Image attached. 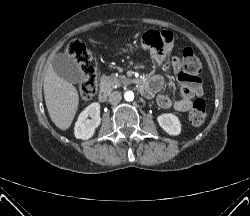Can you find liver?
<instances>
[{
  "label": "liver",
  "mask_w": 250,
  "mask_h": 216,
  "mask_svg": "<svg viewBox=\"0 0 250 216\" xmlns=\"http://www.w3.org/2000/svg\"><path fill=\"white\" fill-rule=\"evenodd\" d=\"M44 96L49 116L61 130L70 127L77 112L79 96L76 88L61 78L49 65L44 78Z\"/></svg>",
  "instance_id": "obj_1"
}]
</instances>
